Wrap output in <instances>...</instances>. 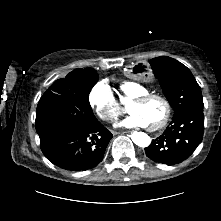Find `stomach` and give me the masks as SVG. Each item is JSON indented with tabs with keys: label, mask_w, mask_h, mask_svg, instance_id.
<instances>
[{
	"label": "stomach",
	"mask_w": 221,
	"mask_h": 221,
	"mask_svg": "<svg viewBox=\"0 0 221 221\" xmlns=\"http://www.w3.org/2000/svg\"><path fill=\"white\" fill-rule=\"evenodd\" d=\"M128 75L134 81L146 82L152 76V69L147 63L137 61L129 66Z\"/></svg>",
	"instance_id": "1"
}]
</instances>
